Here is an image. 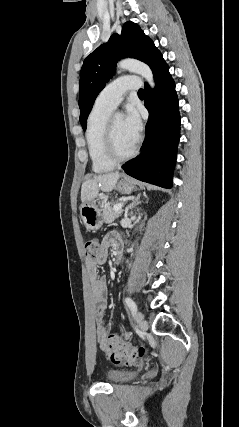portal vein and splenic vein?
<instances>
[{"label":"portal vein and splenic vein","instance_id":"portal-vein-and-splenic-vein-1","mask_svg":"<svg viewBox=\"0 0 239 427\" xmlns=\"http://www.w3.org/2000/svg\"><path fill=\"white\" fill-rule=\"evenodd\" d=\"M123 206H124L123 203H118V204L114 205L113 209H114L115 212H119L122 209Z\"/></svg>","mask_w":239,"mask_h":427}]
</instances>
